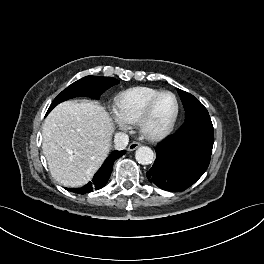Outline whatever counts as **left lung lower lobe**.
Here are the masks:
<instances>
[{"label": "left lung lower lobe", "mask_w": 264, "mask_h": 264, "mask_svg": "<svg viewBox=\"0 0 264 264\" xmlns=\"http://www.w3.org/2000/svg\"><path fill=\"white\" fill-rule=\"evenodd\" d=\"M213 143L211 119L181 127L155 148L156 159L146 173L148 180L166 191H184L206 171Z\"/></svg>", "instance_id": "0a47b994"}]
</instances>
